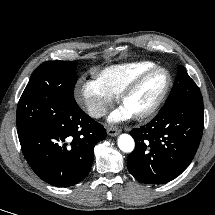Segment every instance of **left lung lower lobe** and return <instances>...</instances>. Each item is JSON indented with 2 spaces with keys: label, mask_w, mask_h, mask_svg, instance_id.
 Here are the masks:
<instances>
[{
  "label": "left lung lower lobe",
  "mask_w": 215,
  "mask_h": 215,
  "mask_svg": "<svg viewBox=\"0 0 215 215\" xmlns=\"http://www.w3.org/2000/svg\"><path fill=\"white\" fill-rule=\"evenodd\" d=\"M203 124V106L165 104L147 125L130 132L136 143L127 159L130 173L147 184H163L176 178L191 163Z\"/></svg>",
  "instance_id": "obj_1"
}]
</instances>
